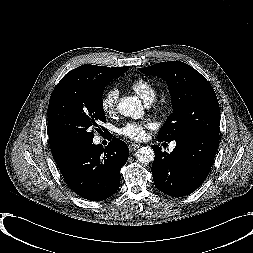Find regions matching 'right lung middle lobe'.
<instances>
[{"instance_id": "obj_1", "label": "right lung middle lobe", "mask_w": 253, "mask_h": 253, "mask_svg": "<svg viewBox=\"0 0 253 253\" xmlns=\"http://www.w3.org/2000/svg\"><path fill=\"white\" fill-rule=\"evenodd\" d=\"M128 68L100 73L82 71L63 77L49 101V138L71 150L92 142L93 130L99 132L98 123L106 122L102 100L105 86Z\"/></svg>"}]
</instances>
